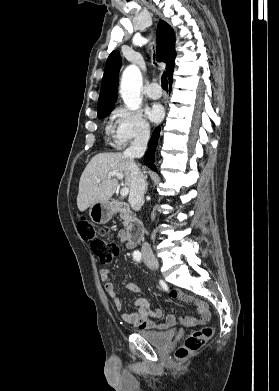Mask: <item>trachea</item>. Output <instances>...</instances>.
Wrapping results in <instances>:
<instances>
[{
  "label": "trachea",
  "mask_w": 279,
  "mask_h": 391,
  "mask_svg": "<svg viewBox=\"0 0 279 391\" xmlns=\"http://www.w3.org/2000/svg\"><path fill=\"white\" fill-rule=\"evenodd\" d=\"M161 84H162V88L164 90H168V81H167V75L165 72L162 74Z\"/></svg>",
  "instance_id": "trachea-1"
}]
</instances>
